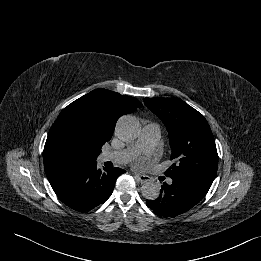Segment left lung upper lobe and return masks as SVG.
Returning <instances> with one entry per match:
<instances>
[{"label":"left lung upper lobe","mask_w":261,"mask_h":261,"mask_svg":"<svg viewBox=\"0 0 261 261\" xmlns=\"http://www.w3.org/2000/svg\"><path fill=\"white\" fill-rule=\"evenodd\" d=\"M144 103L161 119L169 133L174 163L165 175L191 174L214 180L218 154L203 115L179 98H145Z\"/></svg>","instance_id":"5c2ea615"}]
</instances>
